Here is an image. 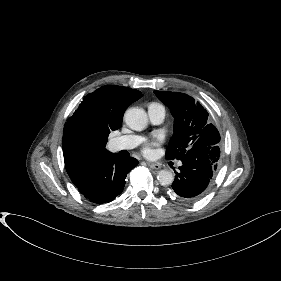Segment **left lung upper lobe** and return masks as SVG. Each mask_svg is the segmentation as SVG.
<instances>
[{"mask_svg":"<svg viewBox=\"0 0 281 281\" xmlns=\"http://www.w3.org/2000/svg\"><path fill=\"white\" fill-rule=\"evenodd\" d=\"M174 117V134L166 150V158L181 160L194 146L219 145L220 135L208 121L207 111L183 93L154 91Z\"/></svg>","mask_w":281,"mask_h":281,"instance_id":"obj_1","label":"left lung upper lobe"}]
</instances>
